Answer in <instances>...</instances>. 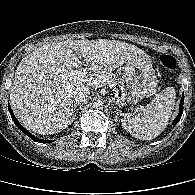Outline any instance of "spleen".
Instances as JSON below:
<instances>
[{"instance_id": "obj_1", "label": "spleen", "mask_w": 195, "mask_h": 195, "mask_svg": "<svg viewBox=\"0 0 195 195\" xmlns=\"http://www.w3.org/2000/svg\"><path fill=\"white\" fill-rule=\"evenodd\" d=\"M175 99V88L172 86L165 88L145 107L143 112L134 117L122 119L123 128L138 139L151 140L156 138L168 124L174 109Z\"/></svg>"}]
</instances>
